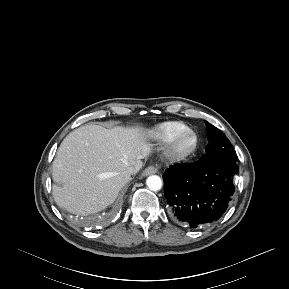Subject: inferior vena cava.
I'll return each mask as SVG.
<instances>
[{
    "label": "inferior vena cava",
    "instance_id": "obj_1",
    "mask_svg": "<svg viewBox=\"0 0 289 289\" xmlns=\"http://www.w3.org/2000/svg\"><path fill=\"white\" fill-rule=\"evenodd\" d=\"M124 173L126 176L130 177L132 174L136 173V169L134 167H128Z\"/></svg>",
    "mask_w": 289,
    "mask_h": 289
}]
</instances>
